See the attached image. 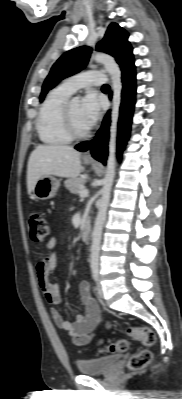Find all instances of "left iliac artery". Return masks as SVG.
Segmentation results:
<instances>
[{"label":"left iliac artery","instance_id":"1","mask_svg":"<svg viewBox=\"0 0 182 399\" xmlns=\"http://www.w3.org/2000/svg\"><path fill=\"white\" fill-rule=\"evenodd\" d=\"M98 274H99L98 268H93L92 269V277L95 281L98 279Z\"/></svg>","mask_w":182,"mask_h":399}]
</instances>
